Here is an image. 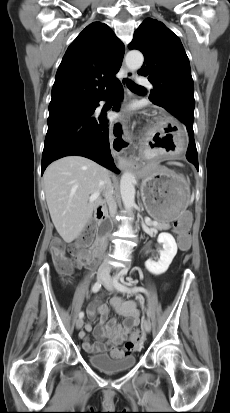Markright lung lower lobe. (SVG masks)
<instances>
[{"instance_id":"right-lung-lower-lobe-1","label":"right lung lower lobe","mask_w":230,"mask_h":413,"mask_svg":"<svg viewBox=\"0 0 230 413\" xmlns=\"http://www.w3.org/2000/svg\"><path fill=\"white\" fill-rule=\"evenodd\" d=\"M118 93L119 100L123 97V89L119 80L110 91ZM109 91V92H110ZM103 97L89 103V108L49 116L48 131L42 154L41 173L53 161L70 155H78L94 160L100 165L118 172L113 163L109 146V123L106 115L95 116L94 111ZM117 104L113 110L117 111Z\"/></svg>"}]
</instances>
